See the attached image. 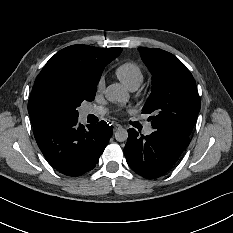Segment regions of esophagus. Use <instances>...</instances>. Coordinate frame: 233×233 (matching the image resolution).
<instances>
[{
  "label": "esophagus",
  "instance_id": "34e87169",
  "mask_svg": "<svg viewBox=\"0 0 233 233\" xmlns=\"http://www.w3.org/2000/svg\"><path fill=\"white\" fill-rule=\"evenodd\" d=\"M120 129H122V125L121 124H114L113 125V131H118Z\"/></svg>",
  "mask_w": 233,
  "mask_h": 233
}]
</instances>
